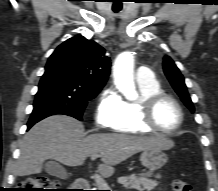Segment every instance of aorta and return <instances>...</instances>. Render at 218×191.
<instances>
[{"instance_id": "1", "label": "aorta", "mask_w": 218, "mask_h": 191, "mask_svg": "<svg viewBox=\"0 0 218 191\" xmlns=\"http://www.w3.org/2000/svg\"><path fill=\"white\" fill-rule=\"evenodd\" d=\"M113 78L117 89L130 101L138 98L134 83V57L130 52H123L115 60Z\"/></svg>"}]
</instances>
